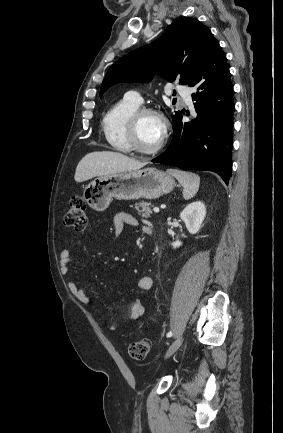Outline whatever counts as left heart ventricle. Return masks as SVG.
<instances>
[{"label":"left heart ventricle","mask_w":283,"mask_h":433,"mask_svg":"<svg viewBox=\"0 0 283 433\" xmlns=\"http://www.w3.org/2000/svg\"><path fill=\"white\" fill-rule=\"evenodd\" d=\"M163 131L162 121L155 115H145L138 128V140L141 147L148 151L157 148Z\"/></svg>","instance_id":"left-heart-ventricle-1"}]
</instances>
